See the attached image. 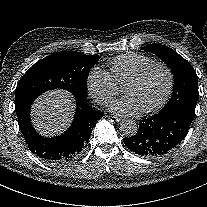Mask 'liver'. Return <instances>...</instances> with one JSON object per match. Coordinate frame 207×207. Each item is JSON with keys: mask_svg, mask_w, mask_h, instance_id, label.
Here are the masks:
<instances>
[{"mask_svg": "<svg viewBox=\"0 0 207 207\" xmlns=\"http://www.w3.org/2000/svg\"><path fill=\"white\" fill-rule=\"evenodd\" d=\"M74 108V101L68 93H46L33 105L34 126L42 134L49 136L61 133L72 121Z\"/></svg>", "mask_w": 207, "mask_h": 207, "instance_id": "6515ba94", "label": "liver"}]
</instances>
